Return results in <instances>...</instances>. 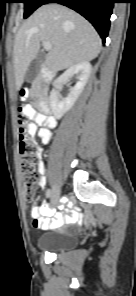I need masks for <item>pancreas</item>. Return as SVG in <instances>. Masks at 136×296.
I'll return each instance as SVG.
<instances>
[{"label": "pancreas", "instance_id": "obj_1", "mask_svg": "<svg viewBox=\"0 0 136 296\" xmlns=\"http://www.w3.org/2000/svg\"><path fill=\"white\" fill-rule=\"evenodd\" d=\"M31 94L34 95V96L38 95V89H37L36 86H33V87H32V89H31Z\"/></svg>", "mask_w": 136, "mask_h": 296}]
</instances>
